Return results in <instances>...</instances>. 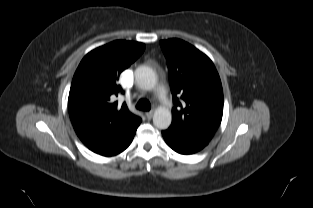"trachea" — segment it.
Returning a JSON list of instances; mask_svg holds the SVG:
<instances>
[{"label":"trachea","instance_id":"obj_1","mask_svg":"<svg viewBox=\"0 0 313 208\" xmlns=\"http://www.w3.org/2000/svg\"><path fill=\"white\" fill-rule=\"evenodd\" d=\"M137 109L149 111L151 109V104L147 99H140L136 105Z\"/></svg>","mask_w":313,"mask_h":208}]
</instances>
